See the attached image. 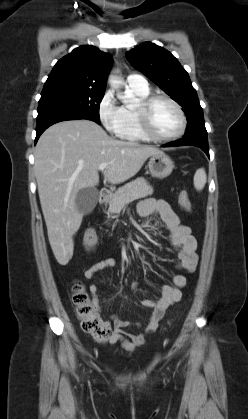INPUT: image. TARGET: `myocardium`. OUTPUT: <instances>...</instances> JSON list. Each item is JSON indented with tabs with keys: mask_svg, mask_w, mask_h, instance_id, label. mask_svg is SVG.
<instances>
[{
	"mask_svg": "<svg viewBox=\"0 0 248 419\" xmlns=\"http://www.w3.org/2000/svg\"><path fill=\"white\" fill-rule=\"evenodd\" d=\"M158 100H165L169 102L179 114L180 127L176 133L170 136H159L155 134V132L152 130L150 119H149V110L151 106ZM135 113H136L138 125L142 134L151 141L171 142V141L177 140L185 133L186 128H187V118H186L183 108L176 100H174L173 98L165 94H153L140 100L139 105L135 109Z\"/></svg>",
	"mask_w": 248,
	"mask_h": 419,
	"instance_id": "obj_1",
	"label": "myocardium"
}]
</instances>
